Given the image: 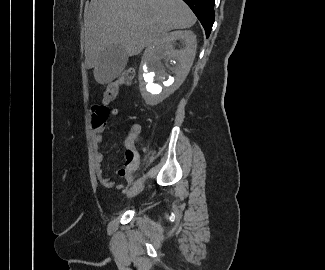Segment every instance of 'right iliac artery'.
Here are the masks:
<instances>
[{"instance_id":"right-iliac-artery-1","label":"right iliac artery","mask_w":325,"mask_h":270,"mask_svg":"<svg viewBox=\"0 0 325 270\" xmlns=\"http://www.w3.org/2000/svg\"><path fill=\"white\" fill-rule=\"evenodd\" d=\"M142 181H143V177H142V178H140V179H138V180H136V181L134 182L133 186H135V185H138V184L142 183Z\"/></svg>"}]
</instances>
